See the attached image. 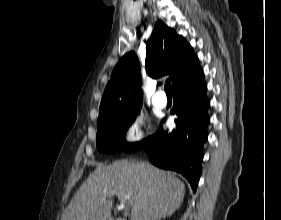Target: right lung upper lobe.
I'll return each mask as SVG.
<instances>
[{"mask_svg": "<svg viewBox=\"0 0 281 220\" xmlns=\"http://www.w3.org/2000/svg\"><path fill=\"white\" fill-rule=\"evenodd\" d=\"M146 71L152 78L169 74L173 91L203 78L197 56L182 36L159 20L146 46ZM141 75L133 52L125 54L115 66L107 83L97 124L140 110Z\"/></svg>", "mask_w": 281, "mask_h": 220, "instance_id": "1", "label": "right lung upper lobe"}]
</instances>
